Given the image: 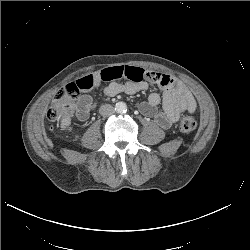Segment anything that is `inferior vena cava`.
Listing matches in <instances>:
<instances>
[{
	"instance_id": "obj_1",
	"label": "inferior vena cava",
	"mask_w": 250,
	"mask_h": 250,
	"mask_svg": "<svg viewBox=\"0 0 250 250\" xmlns=\"http://www.w3.org/2000/svg\"><path fill=\"white\" fill-rule=\"evenodd\" d=\"M114 107L110 104H104L100 107L99 109V113L102 115V116H109L111 114L114 113Z\"/></svg>"
}]
</instances>
